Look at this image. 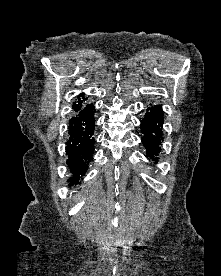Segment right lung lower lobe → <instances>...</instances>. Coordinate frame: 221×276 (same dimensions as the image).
<instances>
[{"label":"right lung lower lobe","mask_w":221,"mask_h":276,"mask_svg":"<svg viewBox=\"0 0 221 276\" xmlns=\"http://www.w3.org/2000/svg\"><path fill=\"white\" fill-rule=\"evenodd\" d=\"M94 106L87 104L69 121V139L66 142L67 164L71 177L69 185H77L85 175L94 153Z\"/></svg>","instance_id":"right-lung-lower-lobe-1"}]
</instances>
